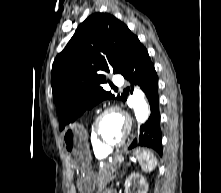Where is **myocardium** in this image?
<instances>
[{"label": "myocardium", "mask_w": 221, "mask_h": 193, "mask_svg": "<svg viewBox=\"0 0 221 193\" xmlns=\"http://www.w3.org/2000/svg\"><path fill=\"white\" fill-rule=\"evenodd\" d=\"M110 112L119 113L120 115L123 116V118L126 121V130H125L122 138L116 143H109V142L105 141L101 137L100 132H99V124H100L101 119L107 113H110ZM130 130H131V123H130L129 118L116 106H108V107L104 108L103 110H101L100 113L96 116V118L93 122V125H92V134H93V137H94L95 141L102 148L106 149L107 151L122 146L125 143V141L127 140L128 136H129V133H130Z\"/></svg>", "instance_id": "myocardium-1"}]
</instances>
